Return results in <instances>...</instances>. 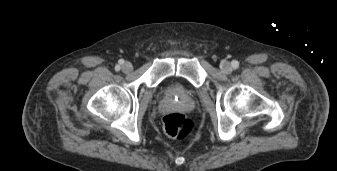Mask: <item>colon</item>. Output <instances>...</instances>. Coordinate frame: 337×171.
Segmentation results:
<instances>
[{
    "label": "colon",
    "mask_w": 337,
    "mask_h": 171,
    "mask_svg": "<svg viewBox=\"0 0 337 171\" xmlns=\"http://www.w3.org/2000/svg\"><path fill=\"white\" fill-rule=\"evenodd\" d=\"M163 129L165 133L174 139H183L194 130V122L187 115L170 113L163 117Z\"/></svg>",
    "instance_id": "obj_1"
}]
</instances>
